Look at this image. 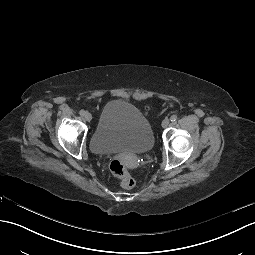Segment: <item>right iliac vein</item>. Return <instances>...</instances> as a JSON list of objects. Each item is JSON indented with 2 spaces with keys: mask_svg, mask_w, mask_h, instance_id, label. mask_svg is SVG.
Here are the masks:
<instances>
[{
  "mask_svg": "<svg viewBox=\"0 0 255 255\" xmlns=\"http://www.w3.org/2000/svg\"><path fill=\"white\" fill-rule=\"evenodd\" d=\"M86 121H91L92 120V115L89 112H86L84 115Z\"/></svg>",
  "mask_w": 255,
  "mask_h": 255,
  "instance_id": "right-iliac-vein-1",
  "label": "right iliac vein"
}]
</instances>
